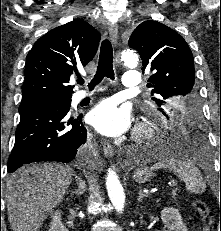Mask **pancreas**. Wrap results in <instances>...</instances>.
Here are the masks:
<instances>
[{
	"mask_svg": "<svg viewBox=\"0 0 221 231\" xmlns=\"http://www.w3.org/2000/svg\"><path fill=\"white\" fill-rule=\"evenodd\" d=\"M175 196H176V193H175V192H173V198H175Z\"/></svg>",
	"mask_w": 221,
	"mask_h": 231,
	"instance_id": "cf45deb5",
	"label": "pancreas"
}]
</instances>
